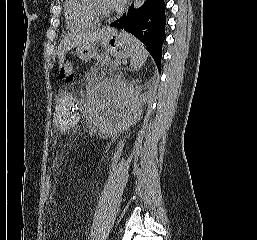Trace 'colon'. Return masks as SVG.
I'll return each instance as SVG.
<instances>
[{"instance_id":"5ec220e1","label":"colon","mask_w":257,"mask_h":240,"mask_svg":"<svg viewBox=\"0 0 257 240\" xmlns=\"http://www.w3.org/2000/svg\"><path fill=\"white\" fill-rule=\"evenodd\" d=\"M61 78L65 81H73L75 77V67L74 64L71 61H66L60 72ZM53 193V183L50 178V176H47L45 179V185H44V195L45 200L47 203H50Z\"/></svg>"}]
</instances>
